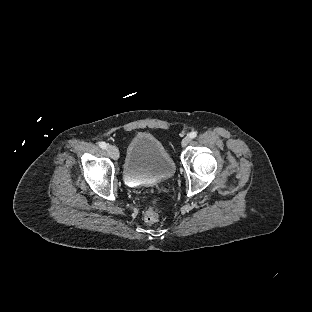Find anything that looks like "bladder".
<instances>
[{"mask_svg":"<svg viewBox=\"0 0 312 312\" xmlns=\"http://www.w3.org/2000/svg\"><path fill=\"white\" fill-rule=\"evenodd\" d=\"M175 170L172 155L150 133H139L129 142L124 160V171L130 179L165 180Z\"/></svg>","mask_w":312,"mask_h":312,"instance_id":"31cf9c89","label":"bladder"}]
</instances>
